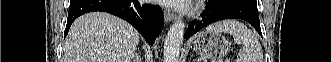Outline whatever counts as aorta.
<instances>
[{
  "label": "aorta",
  "mask_w": 331,
  "mask_h": 62,
  "mask_svg": "<svg viewBox=\"0 0 331 62\" xmlns=\"http://www.w3.org/2000/svg\"><path fill=\"white\" fill-rule=\"evenodd\" d=\"M185 25L181 20L176 21L169 29L164 42V62H178L184 38Z\"/></svg>",
  "instance_id": "762f6f07"
}]
</instances>
